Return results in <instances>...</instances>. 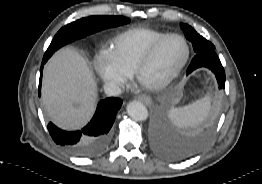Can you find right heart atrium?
I'll return each mask as SVG.
<instances>
[{
    "mask_svg": "<svg viewBox=\"0 0 262 184\" xmlns=\"http://www.w3.org/2000/svg\"><path fill=\"white\" fill-rule=\"evenodd\" d=\"M94 69L103 85L107 88H118L128 79L129 74L117 63L110 52H101L95 60Z\"/></svg>",
    "mask_w": 262,
    "mask_h": 184,
    "instance_id": "obj_1",
    "label": "right heart atrium"
}]
</instances>
